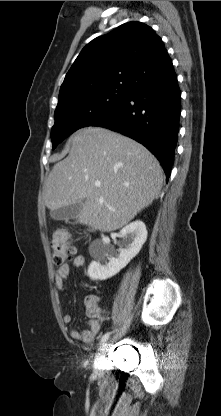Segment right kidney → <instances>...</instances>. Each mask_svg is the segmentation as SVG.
Segmentation results:
<instances>
[{"label": "right kidney", "instance_id": "1", "mask_svg": "<svg viewBox=\"0 0 221 416\" xmlns=\"http://www.w3.org/2000/svg\"><path fill=\"white\" fill-rule=\"evenodd\" d=\"M127 235L130 236L131 243L124 249H120L117 257H108L107 246L105 244L102 245L97 261H92L88 267V276L92 280H106L113 277L139 253L147 239L145 224L140 220H136L126 225L120 231V237Z\"/></svg>", "mask_w": 221, "mask_h": 416}]
</instances>
